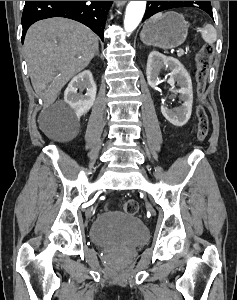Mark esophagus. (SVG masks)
Wrapping results in <instances>:
<instances>
[{
  "mask_svg": "<svg viewBox=\"0 0 237 300\" xmlns=\"http://www.w3.org/2000/svg\"><path fill=\"white\" fill-rule=\"evenodd\" d=\"M114 3H115L117 6H122L123 4L126 3V1H114Z\"/></svg>",
  "mask_w": 237,
  "mask_h": 300,
  "instance_id": "esophagus-1",
  "label": "esophagus"
}]
</instances>
